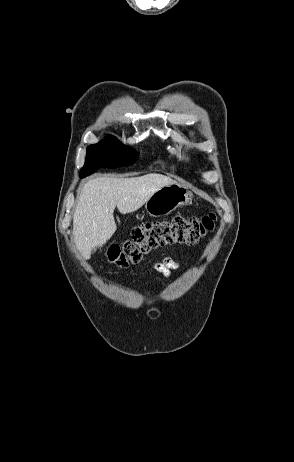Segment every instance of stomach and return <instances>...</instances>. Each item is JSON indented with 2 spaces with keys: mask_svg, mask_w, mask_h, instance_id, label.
<instances>
[{
  "mask_svg": "<svg viewBox=\"0 0 294 462\" xmlns=\"http://www.w3.org/2000/svg\"><path fill=\"white\" fill-rule=\"evenodd\" d=\"M192 193L179 184H171L157 190L146 202L145 209L150 216L170 214L181 205L188 204Z\"/></svg>",
  "mask_w": 294,
  "mask_h": 462,
  "instance_id": "1",
  "label": "stomach"
}]
</instances>
